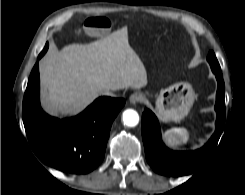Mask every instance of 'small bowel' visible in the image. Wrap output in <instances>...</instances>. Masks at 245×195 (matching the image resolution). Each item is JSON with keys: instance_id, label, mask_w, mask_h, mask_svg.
I'll list each match as a JSON object with an SVG mask.
<instances>
[{"instance_id": "1", "label": "small bowel", "mask_w": 245, "mask_h": 195, "mask_svg": "<svg viewBox=\"0 0 245 195\" xmlns=\"http://www.w3.org/2000/svg\"><path fill=\"white\" fill-rule=\"evenodd\" d=\"M111 26L110 21L102 16L90 17L85 21L84 29L93 34H100L107 31Z\"/></svg>"}]
</instances>
